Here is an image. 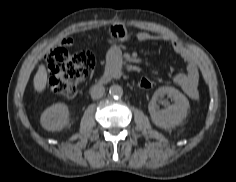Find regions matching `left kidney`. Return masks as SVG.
<instances>
[{"label":"left kidney","instance_id":"5707ae66","mask_svg":"<svg viewBox=\"0 0 236 182\" xmlns=\"http://www.w3.org/2000/svg\"><path fill=\"white\" fill-rule=\"evenodd\" d=\"M164 95H168L174 101V104L164 110H159L156 102ZM148 109L152 122L156 126L169 129L178 126L187 117L189 101L173 87H160L153 94Z\"/></svg>","mask_w":236,"mask_h":182}]
</instances>
